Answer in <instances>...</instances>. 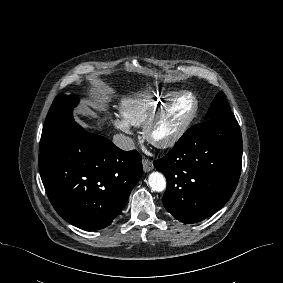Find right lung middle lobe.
Returning <instances> with one entry per match:
<instances>
[{
    "mask_svg": "<svg viewBox=\"0 0 283 283\" xmlns=\"http://www.w3.org/2000/svg\"><path fill=\"white\" fill-rule=\"evenodd\" d=\"M74 95H58L47 114L40 140V152L52 148L57 140L76 122L73 119V108L78 104Z\"/></svg>",
    "mask_w": 283,
    "mask_h": 283,
    "instance_id": "obj_1",
    "label": "right lung middle lobe"
}]
</instances>
